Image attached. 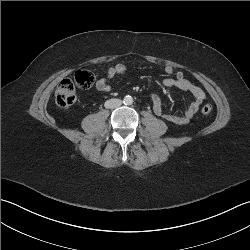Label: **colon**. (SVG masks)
Segmentation results:
<instances>
[{
    "mask_svg": "<svg viewBox=\"0 0 250 250\" xmlns=\"http://www.w3.org/2000/svg\"><path fill=\"white\" fill-rule=\"evenodd\" d=\"M95 81V75L88 71H78L73 78L63 79L55 92V101L60 107H69L78 100V89L90 88ZM210 104L202 106L201 112L204 116L211 114Z\"/></svg>",
    "mask_w": 250,
    "mask_h": 250,
    "instance_id": "obj_1",
    "label": "colon"
}]
</instances>
